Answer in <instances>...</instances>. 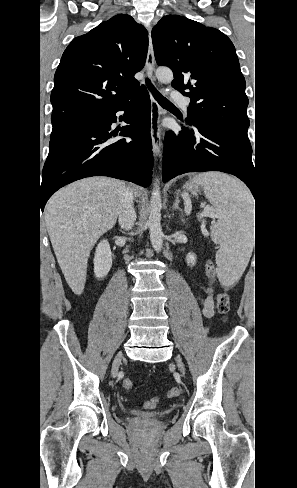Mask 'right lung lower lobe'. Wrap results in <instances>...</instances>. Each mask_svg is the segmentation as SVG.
<instances>
[{
	"label": "right lung lower lobe",
	"instance_id": "right-lung-lower-lobe-1",
	"mask_svg": "<svg viewBox=\"0 0 297 488\" xmlns=\"http://www.w3.org/2000/svg\"><path fill=\"white\" fill-rule=\"evenodd\" d=\"M118 111H125L124 121L129 124L120 133L110 131ZM150 114L149 94L141 86L111 111L52 138L39 186L41 211L58 189L86 177L109 176L149 186L153 167Z\"/></svg>",
	"mask_w": 297,
	"mask_h": 488
}]
</instances>
